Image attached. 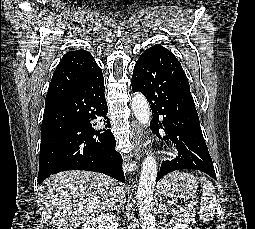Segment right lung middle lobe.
Masks as SVG:
<instances>
[{
    "label": "right lung middle lobe",
    "mask_w": 255,
    "mask_h": 229,
    "mask_svg": "<svg viewBox=\"0 0 255 229\" xmlns=\"http://www.w3.org/2000/svg\"><path fill=\"white\" fill-rule=\"evenodd\" d=\"M65 121L60 120L42 130L39 167L49 168L65 133Z\"/></svg>",
    "instance_id": "right-lung-middle-lobe-1"
}]
</instances>
